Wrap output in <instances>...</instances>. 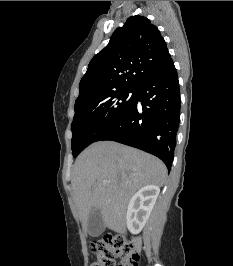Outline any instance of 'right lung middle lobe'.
Listing matches in <instances>:
<instances>
[{"label":"right lung middle lobe","instance_id":"obj_1","mask_svg":"<svg viewBox=\"0 0 233 266\" xmlns=\"http://www.w3.org/2000/svg\"><path fill=\"white\" fill-rule=\"evenodd\" d=\"M136 92L134 88H120L96 93L75 102V116L71 126L74 157L95 142L131 107Z\"/></svg>","mask_w":233,"mask_h":266}]
</instances>
